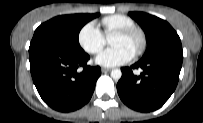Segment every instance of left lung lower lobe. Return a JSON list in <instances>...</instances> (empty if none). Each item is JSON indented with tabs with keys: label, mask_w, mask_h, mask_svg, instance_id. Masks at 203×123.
Here are the masks:
<instances>
[{
	"label": "left lung lower lobe",
	"mask_w": 203,
	"mask_h": 123,
	"mask_svg": "<svg viewBox=\"0 0 203 123\" xmlns=\"http://www.w3.org/2000/svg\"><path fill=\"white\" fill-rule=\"evenodd\" d=\"M182 48L162 51L121 68L117 83L119 97L128 107L150 112L160 108L174 92L182 67ZM142 69L140 75L134 69Z\"/></svg>",
	"instance_id": "1"
}]
</instances>
